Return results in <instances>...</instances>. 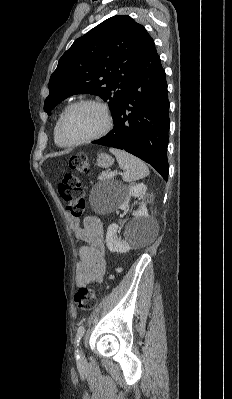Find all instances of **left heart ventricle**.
<instances>
[{
  "instance_id": "1",
  "label": "left heart ventricle",
  "mask_w": 232,
  "mask_h": 399,
  "mask_svg": "<svg viewBox=\"0 0 232 399\" xmlns=\"http://www.w3.org/2000/svg\"><path fill=\"white\" fill-rule=\"evenodd\" d=\"M105 125L103 110L95 105H78L68 114L65 129L73 139H84L97 134Z\"/></svg>"
}]
</instances>
